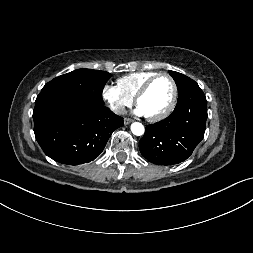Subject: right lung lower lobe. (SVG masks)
<instances>
[{
    "label": "right lung lower lobe",
    "instance_id": "obj_1",
    "mask_svg": "<svg viewBox=\"0 0 253 253\" xmlns=\"http://www.w3.org/2000/svg\"><path fill=\"white\" fill-rule=\"evenodd\" d=\"M34 133L44 153L69 165L93 161L123 118L104 103L78 96L41 92L33 110Z\"/></svg>",
    "mask_w": 253,
    "mask_h": 253
}]
</instances>
